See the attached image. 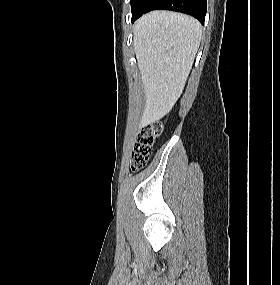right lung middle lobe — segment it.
Instances as JSON below:
<instances>
[{"instance_id":"1","label":"right lung middle lobe","mask_w":280,"mask_h":285,"mask_svg":"<svg viewBox=\"0 0 280 285\" xmlns=\"http://www.w3.org/2000/svg\"><path fill=\"white\" fill-rule=\"evenodd\" d=\"M142 0H131L132 13L136 10L137 6Z\"/></svg>"}]
</instances>
